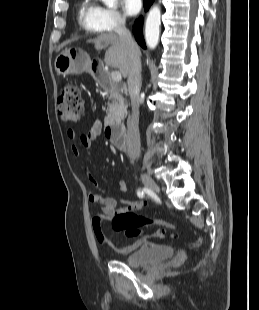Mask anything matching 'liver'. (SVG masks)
Segmentation results:
<instances>
[{"label":"liver","mask_w":259,"mask_h":310,"mask_svg":"<svg viewBox=\"0 0 259 310\" xmlns=\"http://www.w3.org/2000/svg\"><path fill=\"white\" fill-rule=\"evenodd\" d=\"M88 42L93 43L96 50H101L109 46L105 53L104 62L111 67L118 68L124 78L128 76L130 53L118 35L114 33L101 34ZM138 52L140 55L139 49Z\"/></svg>","instance_id":"6515ba94"}]
</instances>
